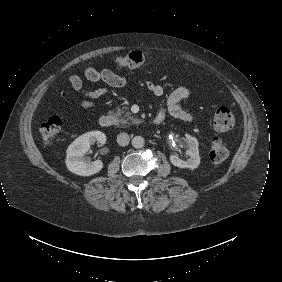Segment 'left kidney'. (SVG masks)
Segmentation results:
<instances>
[{"instance_id": "left-kidney-1", "label": "left kidney", "mask_w": 282, "mask_h": 282, "mask_svg": "<svg viewBox=\"0 0 282 282\" xmlns=\"http://www.w3.org/2000/svg\"><path fill=\"white\" fill-rule=\"evenodd\" d=\"M185 142L187 145L186 155L189 156V158L184 161L180 159L177 155H170V161L174 166H177L179 168H189L191 170L197 168L200 164V156H199V143L198 140L189 135L185 134Z\"/></svg>"}]
</instances>
